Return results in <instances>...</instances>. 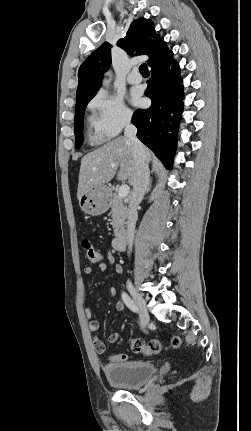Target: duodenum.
I'll return each mask as SVG.
<instances>
[{"label":"duodenum","mask_w":251,"mask_h":431,"mask_svg":"<svg viewBox=\"0 0 251 431\" xmlns=\"http://www.w3.org/2000/svg\"><path fill=\"white\" fill-rule=\"evenodd\" d=\"M112 245L117 251H124L127 245V239L125 232H119L112 240Z\"/></svg>","instance_id":"duodenum-1"}]
</instances>
